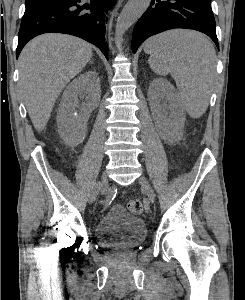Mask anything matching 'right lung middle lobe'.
<instances>
[{
	"mask_svg": "<svg viewBox=\"0 0 245 300\" xmlns=\"http://www.w3.org/2000/svg\"><path fill=\"white\" fill-rule=\"evenodd\" d=\"M52 0H35V1H27L26 2V9L33 8L35 6L50 2Z\"/></svg>",
	"mask_w": 245,
	"mask_h": 300,
	"instance_id": "obj_1",
	"label": "right lung middle lobe"
}]
</instances>
